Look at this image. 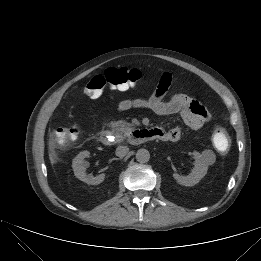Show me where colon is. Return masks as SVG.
<instances>
[{
    "label": "colon",
    "instance_id": "1",
    "mask_svg": "<svg viewBox=\"0 0 261 261\" xmlns=\"http://www.w3.org/2000/svg\"><path fill=\"white\" fill-rule=\"evenodd\" d=\"M141 78V72L131 68H109L102 75L93 77L85 87V94L90 98H99L106 86L119 87L123 85H135ZM79 135L78 128L57 127L53 132V141L61 146H66L74 142ZM212 142L216 150L220 153H227L231 148V139L227 131L216 126L212 132Z\"/></svg>",
    "mask_w": 261,
    "mask_h": 261
}]
</instances>
